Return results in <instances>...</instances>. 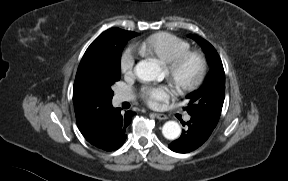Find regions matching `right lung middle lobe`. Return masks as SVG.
<instances>
[{
	"mask_svg": "<svg viewBox=\"0 0 288 181\" xmlns=\"http://www.w3.org/2000/svg\"><path fill=\"white\" fill-rule=\"evenodd\" d=\"M129 39L121 32L112 33L101 42L85 73L86 79L110 100L113 96L111 86L120 79L121 53Z\"/></svg>",
	"mask_w": 288,
	"mask_h": 181,
	"instance_id": "1",
	"label": "right lung middle lobe"
}]
</instances>
